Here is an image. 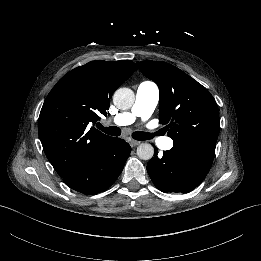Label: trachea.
<instances>
[{
    "instance_id": "trachea-1",
    "label": "trachea",
    "mask_w": 261,
    "mask_h": 261,
    "mask_svg": "<svg viewBox=\"0 0 261 261\" xmlns=\"http://www.w3.org/2000/svg\"><path fill=\"white\" fill-rule=\"evenodd\" d=\"M96 127L99 130H102L104 133L112 136H120L121 135V130L117 126H110V127H104L100 123L96 124ZM153 135L151 133H146V132H133L132 133V138L135 140H148L151 139Z\"/></svg>"
}]
</instances>
